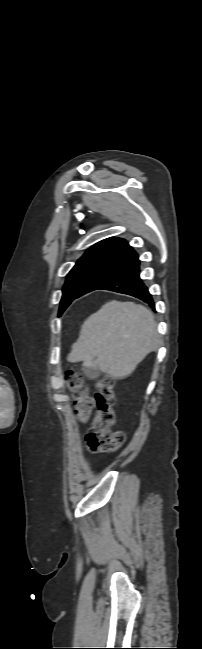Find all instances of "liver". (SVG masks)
<instances>
[{
    "label": "liver",
    "instance_id": "obj_1",
    "mask_svg": "<svg viewBox=\"0 0 202 649\" xmlns=\"http://www.w3.org/2000/svg\"><path fill=\"white\" fill-rule=\"evenodd\" d=\"M153 313L133 302L109 301L81 326L68 362L83 361L113 378L124 379L159 348Z\"/></svg>",
    "mask_w": 202,
    "mask_h": 649
}]
</instances>
